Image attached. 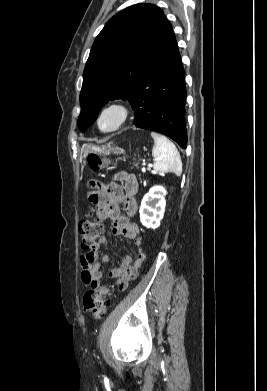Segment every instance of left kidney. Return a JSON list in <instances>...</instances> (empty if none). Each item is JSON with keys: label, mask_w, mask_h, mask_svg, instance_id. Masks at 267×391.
<instances>
[{"label": "left kidney", "mask_w": 267, "mask_h": 391, "mask_svg": "<svg viewBox=\"0 0 267 391\" xmlns=\"http://www.w3.org/2000/svg\"><path fill=\"white\" fill-rule=\"evenodd\" d=\"M166 190L162 186L152 187L144 195L140 206V221L148 228H157L164 216Z\"/></svg>", "instance_id": "left-kidney-1"}]
</instances>
